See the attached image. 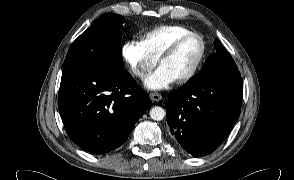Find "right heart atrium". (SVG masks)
<instances>
[{
    "label": "right heart atrium",
    "mask_w": 294,
    "mask_h": 180,
    "mask_svg": "<svg viewBox=\"0 0 294 180\" xmlns=\"http://www.w3.org/2000/svg\"><path fill=\"white\" fill-rule=\"evenodd\" d=\"M121 54L132 74L139 79H144L157 63V59L135 39L124 42Z\"/></svg>",
    "instance_id": "1"
}]
</instances>
